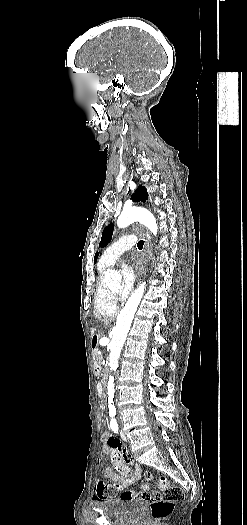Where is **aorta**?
<instances>
[{
	"instance_id": "obj_1",
	"label": "aorta",
	"mask_w": 247,
	"mask_h": 525,
	"mask_svg": "<svg viewBox=\"0 0 247 525\" xmlns=\"http://www.w3.org/2000/svg\"><path fill=\"white\" fill-rule=\"evenodd\" d=\"M136 221L145 225L154 235L157 234L158 226L155 217L151 212L141 207L124 209L117 220V226L119 228H125ZM120 280L121 276L116 270H109L104 278V282L107 286L117 285L120 283ZM145 285V282L140 284V286L130 296L124 308L120 312L116 321V325L112 330L113 336L109 344V366L111 371L117 369L118 367V361L121 354V350L126 340V336L129 332L138 305L140 304V301L143 297ZM114 392V377L110 376L107 386V394L109 401V415L110 417H112V421H115L116 415V409L113 404Z\"/></svg>"
}]
</instances>
